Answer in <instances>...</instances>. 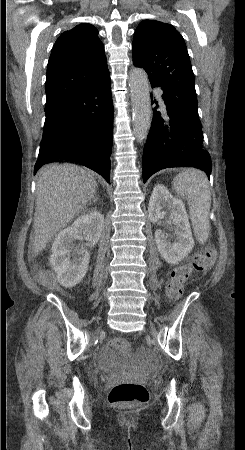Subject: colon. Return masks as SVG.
I'll return each mask as SVG.
<instances>
[{
	"instance_id": "colon-1",
	"label": "colon",
	"mask_w": 245,
	"mask_h": 450,
	"mask_svg": "<svg viewBox=\"0 0 245 450\" xmlns=\"http://www.w3.org/2000/svg\"><path fill=\"white\" fill-rule=\"evenodd\" d=\"M216 252L213 248L206 247L198 252L192 260L175 267L170 273L167 285V295L172 301H179L184 293V283L193 274L210 268L215 260ZM113 345L116 349L128 353L131 350L129 341L123 338H115ZM149 399L148 389L137 383H122L115 385L108 396L112 404L138 405L146 403Z\"/></svg>"
}]
</instances>
